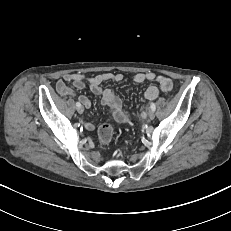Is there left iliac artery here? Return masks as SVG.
Returning a JSON list of instances; mask_svg holds the SVG:
<instances>
[{"instance_id": "left-iliac-artery-1", "label": "left iliac artery", "mask_w": 231, "mask_h": 231, "mask_svg": "<svg viewBox=\"0 0 231 231\" xmlns=\"http://www.w3.org/2000/svg\"><path fill=\"white\" fill-rule=\"evenodd\" d=\"M150 108H151L152 111H155L156 106H155V104L153 102L150 104Z\"/></svg>"}]
</instances>
